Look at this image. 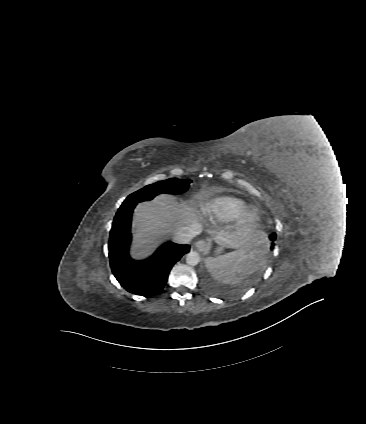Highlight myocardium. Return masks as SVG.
Here are the masks:
<instances>
[{
  "instance_id": "1",
  "label": "myocardium",
  "mask_w": 366,
  "mask_h": 424,
  "mask_svg": "<svg viewBox=\"0 0 366 424\" xmlns=\"http://www.w3.org/2000/svg\"><path fill=\"white\" fill-rule=\"evenodd\" d=\"M258 215L255 209L247 208L245 209L239 218V225L242 228L249 227L257 221Z\"/></svg>"
}]
</instances>
